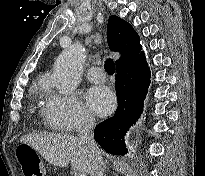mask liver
<instances>
[{"label":"liver","instance_id":"6515ba94","mask_svg":"<svg viewBox=\"0 0 205 176\" xmlns=\"http://www.w3.org/2000/svg\"><path fill=\"white\" fill-rule=\"evenodd\" d=\"M20 141L52 165L66 167L70 162L73 170L91 174L93 154L74 135L43 132L22 136Z\"/></svg>","mask_w":205,"mask_h":176}]
</instances>
